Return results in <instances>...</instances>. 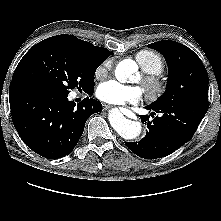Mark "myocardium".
Returning a JSON list of instances; mask_svg holds the SVG:
<instances>
[{
	"instance_id": "f54148a6",
	"label": "myocardium",
	"mask_w": 221,
	"mask_h": 221,
	"mask_svg": "<svg viewBox=\"0 0 221 221\" xmlns=\"http://www.w3.org/2000/svg\"><path fill=\"white\" fill-rule=\"evenodd\" d=\"M148 98L152 101L159 99L166 90V85L156 74L144 73L140 78Z\"/></svg>"
}]
</instances>
